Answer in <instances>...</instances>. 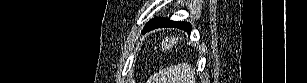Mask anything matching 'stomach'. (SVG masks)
<instances>
[{"instance_id": "obj_1", "label": "stomach", "mask_w": 307, "mask_h": 83, "mask_svg": "<svg viewBox=\"0 0 307 83\" xmlns=\"http://www.w3.org/2000/svg\"><path fill=\"white\" fill-rule=\"evenodd\" d=\"M178 42V38L171 37V38H165L162 40V42L159 44V47H161L162 51L172 50L173 46H175Z\"/></svg>"}]
</instances>
